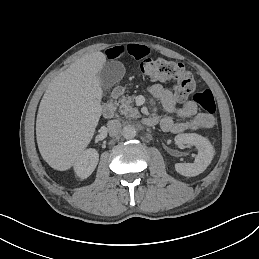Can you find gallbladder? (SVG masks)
I'll return each mask as SVG.
<instances>
[{
    "label": "gallbladder",
    "instance_id": "obj_1",
    "mask_svg": "<svg viewBox=\"0 0 259 259\" xmlns=\"http://www.w3.org/2000/svg\"><path fill=\"white\" fill-rule=\"evenodd\" d=\"M124 74L125 68L121 62L111 61L105 63L103 69L97 74L100 87L103 90H109L123 78Z\"/></svg>",
    "mask_w": 259,
    "mask_h": 259
}]
</instances>
